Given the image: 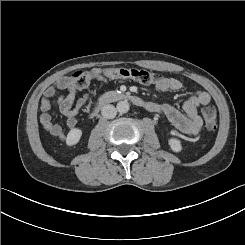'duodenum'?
Listing matches in <instances>:
<instances>
[{"instance_id": "obj_1", "label": "duodenum", "mask_w": 245, "mask_h": 245, "mask_svg": "<svg viewBox=\"0 0 245 245\" xmlns=\"http://www.w3.org/2000/svg\"><path fill=\"white\" fill-rule=\"evenodd\" d=\"M119 101H128L137 106H145V102L136 95H133L131 93H126V92H114L113 91V92H108L102 95L98 99L93 115L96 114L98 109H100L101 107L107 104H110L113 102H119Z\"/></svg>"}]
</instances>
